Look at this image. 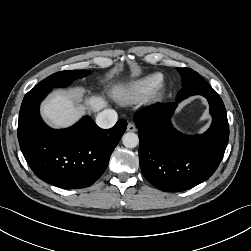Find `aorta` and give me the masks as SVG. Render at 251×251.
I'll return each instance as SVG.
<instances>
[{
	"label": "aorta",
	"mask_w": 251,
	"mask_h": 251,
	"mask_svg": "<svg viewBox=\"0 0 251 251\" xmlns=\"http://www.w3.org/2000/svg\"><path fill=\"white\" fill-rule=\"evenodd\" d=\"M122 142L127 148H135L139 144V137L135 133L128 132L123 135Z\"/></svg>",
	"instance_id": "aorta-1"
}]
</instances>
